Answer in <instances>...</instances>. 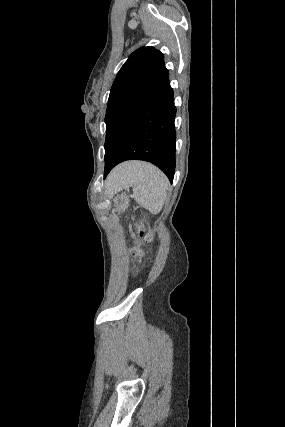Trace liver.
<instances>
[{
  "label": "liver",
  "mask_w": 285,
  "mask_h": 427,
  "mask_svg": "<svg viewBox=\"0 0 285 427\" xmlns=\"http://www.w3.org/2000/svg\"><path fill=\"white\" fill-rule=\"evenodd\" d=\"M133 164V162L132 163H125V164H122V165H120L119 167H117L113 172H112V174H111V176H110V178L108 179V182H107V187L109 188V190H110V186L111 185H113V184H115V182L118 180V178H119V175H120V172L121 171H123L126 167H128V166H130V165H132ZM117 183V182H116ZM111 191V190H110ZM112 192H115V191H112Z\"/></svg>",
  "instance_id": "6515ba94"
}]
</instances>
